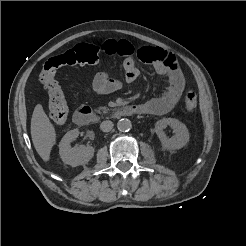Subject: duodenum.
<instances>
[{
  "label": "duodenum",
  "mask_w": 246,
  "mask_h": 246,
  "mask_svg": "<svg viewBox=\"0 0 246 246\" xmlns=\"http://www.w3.org/2000/svg\"><path fill=\"white\" fill-rule=\"evenodd\" d=\"M134 114H141L140 105H126L118 109L115 113L117 116H131ZM96 120V115L88 106H81L77 108L73 115V121L79 126H86Z\"/></svg>",
  "instance_id": "1"
}]
</instances>
